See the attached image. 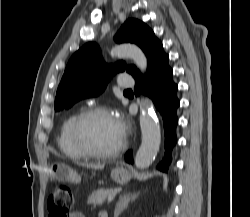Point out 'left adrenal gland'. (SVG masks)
Listing matches in <instances>:
<instances>
[{"label": "left adrenal gland", "mask_w": 250, "mask_h": 217, "mask_svg": "<svg viewBox=\"0 0 250 217\" xmlns=\"http://www.w3.org/2000/svg\"><path fill=\"white\" fill-rule=\"evenodd\" d=\"M138 194H121L119 197V202L116 204L114 217H118L123 210H125L130 201H134L137 198Z\"/></svg>", "instance_id": "a2214340"}]
</instances>
